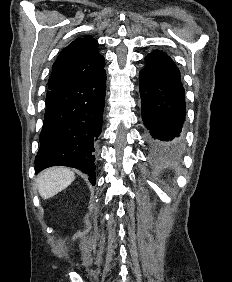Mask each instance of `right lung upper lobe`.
Returning a JSON list of instances; mask_svg holds the SVG:
<instances>
[{"instance_id": "right-lung-upper-lobe-1", "label": "right lung upper lobe", "mask_w": 232, "mask_h": 282, "mask_svg": "<svg viewBox=\"0 0 232 282\" xmlns=\"http://www.w3.org/2000/svg\"><path fill=\"white\" fill-rule=\"evenodd\" d=\"M104 70V57L91 36L79 37L65 47L52 66L46 102L75 83Z\"/></svg>"}]
</instances>
